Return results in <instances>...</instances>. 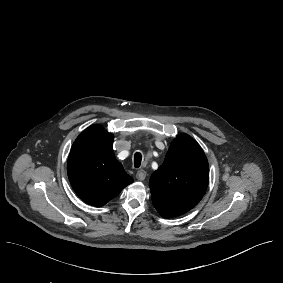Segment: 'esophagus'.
Listing matches in <instances>:
<instances>
[{"label":"esophagus","mask_w":283,"mask_h":283,"mask_svg":"<svg viewBox=\"0 0 283 283\" xmlns=\"http://www.w3.org/2000/svg\"><path fill=\"white\" fill-rule=\"evenodd\" d=\"M136 178L140 181L144 180L146 178V171L143 169L137 171Z\"/></svg>","instance_id":"1"}]
</instances>
